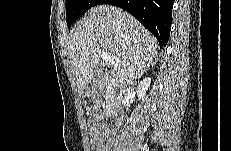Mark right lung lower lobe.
I'll return each instance as SVG.
<instances>
[{
	"mask_svg": "<svg viewBox=\"0 0 231 151\" xmlns=\"http://www.w3.org/2000/svg\"><path fill=\"white\" fill-rule=\"evenodd\" d=\"M122 8L138 19L158 40L166 46L171 29L172 0H102Z\"/></svg>",
	"mask_w": 231,
	"mask_h": 151,
	"instance_id": "98d812e1",
	"label": "right lung lower lobe"
}]
</instances>
